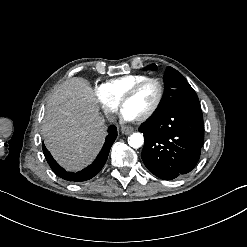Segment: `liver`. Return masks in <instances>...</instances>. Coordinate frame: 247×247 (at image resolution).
Here are the masks:
<instances>
[{
    "label": "liver",
    "mask_w": 247,
    "mask_h": 247,
    "mask_svg": "<svg viewBox=\"0 0 247 247\" xmlns=\"http://www.w3.org/2000/svg\"><path fill=\"white\" fill-rule=\"evenodd\" d=\"M42 122L44 145L67 172L91 165L108 135L99 99L84 77H72L57 88Z\"/></svg>",
    "instance_id": "liver-1"
}]
</instances>
